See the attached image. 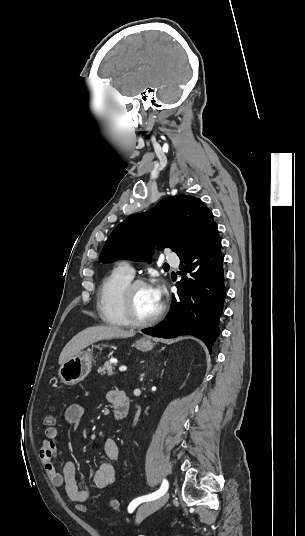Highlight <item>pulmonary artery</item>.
I'll return each mask as SVG.
<instances>
[{"label":"pulmonary artery","instance_id":"e3ab8cb5","mask_svg":"<svg viewBox=\"0 0 305 536\" xmlns=\"http://www.w3.org/2000/svg\"><path fill=\"white\" fill-rule=\"evenodd\" d=\"M168 260H169L170 263H172V264H174L175 266H177V265H178L177 262H178V260H179V257H178L177 254L172 253V254L169 255ZM119 269H120L123 273H125L126 275H128L129 277H132V278L134 277L135 271H134L133 267L130 266L129 264H122V265L119 267Z\"/></svg>","mask_w":305,"mask_h":536}]
</instances>
